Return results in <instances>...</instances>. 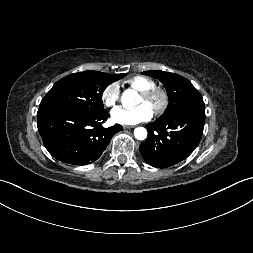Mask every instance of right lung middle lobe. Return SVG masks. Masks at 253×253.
I'll list each match as a JSON object with an SVG mask.
<instances>
[{"label": "right lung middle lobe", "mask_w": 253, "mask_h": 253, "mask_svg": "<svg viewBox=\"0 0 253 253\" xmlns=\"http://www.w3.org/2000/svg\"><path fill=\"white\" fill-rule=\"evenodd\" d=\"M126 74L84 71L68 75L56 82L40 103V108H60L99 114L103 108L102 94L106 87Z\"/></svg>", "instance_id": "right-lung-middle-lobe-1"}]
</instances>
